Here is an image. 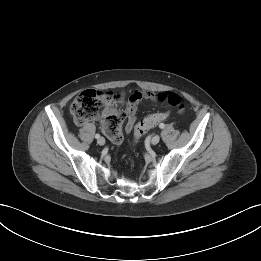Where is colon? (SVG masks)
<instances>
[{"label": "colon", "mask_w": 261, "mask_h": 261, "mask_svg": "<svg viewBox=\"0 0 261 261\" xmlns=\"http://www.w3.org/2000/svg\"><path fill=\"white\" fill-rule=\"evenodd\" d=\"M158 100L168 103L178 112L182 113L185 109L184 99L176 93H162L158 95ZM116 106V97L111 92L96 90H85L81 92L72 102L70 113L74 121L82 125L89 120L96 118L102 109ZM167 112L155 113L143 118L135 126V139H140L150 129L159 122L166 120ZM124 120V111L119 109L118 114L111 115L105 119L103 130L111 143H120L122 141L121 125Z\"/></svg>", "instance_id": "5ec220e1"}]
</instances>
